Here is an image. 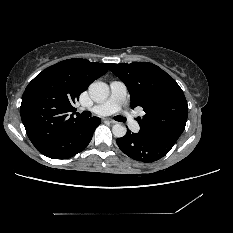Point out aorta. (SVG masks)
<instances>
[{"instance_id": "aorta-1", "label": "aorta", "mask_w": 233, "mask_h": 233, "mask_svg": "<svg viewBox=\"0 0 233 233\" xmlns=\"http://www.w3.org/2000/svg\"><path fill=\"white\" fill-rule=\"evenodd\" d=\"M89 94L95 102H103L109 96V87L106 83L101 81L93 82L89 86ZM112 132L115 137L121 138L126 135L127 129L121 124H115L112 127Z\"/></svg>"}]
</instances>
